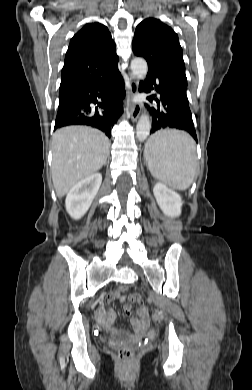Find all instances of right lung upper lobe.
Returning <instances> with one entry per match:
<instances>
[{
	"instance_id": "right-lung-upper-lobe-1",
	"label": "right lung upper lobe",
	"mask_w": 252,
	"mask_h": 390,
	"mask_svg": "<svg viewBox=\"0 0 252 390\" xmlns=\"http://www.w3.org/2000/svg\"><path fill=\"white\" fill-rule=\"evenodd\" d=\"M118 67L115 43L108 28L88 23L70 41L61 73L59 98L105 78Z\"/></svg>"
}]
</instances>
